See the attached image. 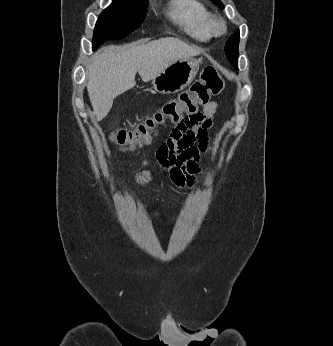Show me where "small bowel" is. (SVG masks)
Returning <instances> with one entry per match:
<instances>
[{"instance_id":"small-bowel-1","label":"small bowel","mask_w":333,"mask_h":346,"mask_svg":"<svg viewBox=\"0 0 333 346\" xmlns=\"http://www.w3.org/2000/svg\"><path fill=\"white\" fill-rule=\"evenodd\" d=\"M218 109L216 102H210L205 105L200 118L190 117L180 121L157 149L159 164L169 172L172 182L178 187H192L195 184L196 174L200 172V161L210 148L208 132L214 125ZM195 142H198L197 147L193 146ZM136 179L146 184L152 175L140 172L136 174Z\"/></svg>"}]
</instances>
